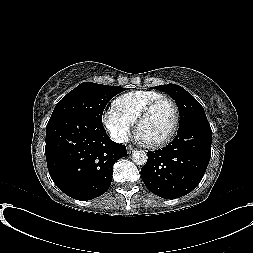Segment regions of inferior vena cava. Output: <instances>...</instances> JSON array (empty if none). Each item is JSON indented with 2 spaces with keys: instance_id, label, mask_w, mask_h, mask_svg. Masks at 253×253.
<instances>
[{
  "instance_id": "obj_1",
  "label": "inferior vena cava",
  "mask_w": 253,
  "mask_h": 253,
  "mask_svg": "<svg viewBox=\"0 0 253 253\" xmlns=\"http://www.w3.org/2000/svg\"><path fill=\"white\" fill-rule=\"evenodd\" d=\"M113 141L117 142V143H124L128 141V136L126 135H115L113 137Z\"/></svg>"
}]
</instances>
